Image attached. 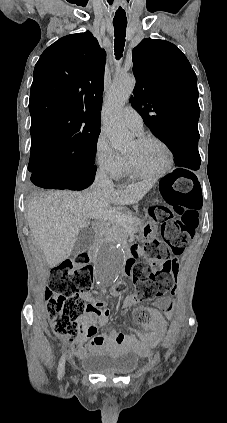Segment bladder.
Wrapping results in <instances>:
<instances>
[{"mask_svg": "<svg viewBox=\"0 0 227 423\" xmlns=\"http://www.w3.org/2000/svg\"><path fill=\"white\" fill-rule=\"evenodd\" d=\"M136 355L130 352L109 355L95 354L89 358L88 368L93 372L128 373L136 365Z\"/></svg>", "mask_w": 227, "mask_h": 423, "instance_id": "1", "label": "bladder"}]
</instances>
